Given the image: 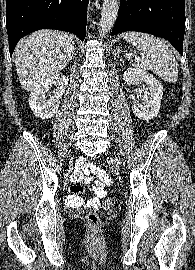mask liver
<instances>
[{"instance_id":"1","label":"liver","mask_w":195,"mask_h":270,"mask_svg":"<svg viewBox=\"0 0 195 270\" xmlns=\"http://www.w3.org/2000/svg\"><path fill=\"white\" fill-rule=\"evenodd\" d=\"M72 38L55 30H39L21 39L15 48V66L20 84L34 90L42 81L57 75L72 59Z\"/></svg>"}]
</instances>
